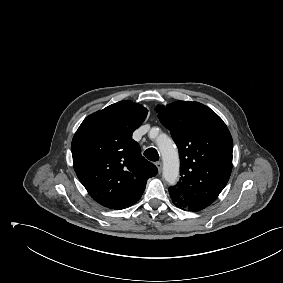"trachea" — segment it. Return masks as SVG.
Listing matches in <instances>:
<instances>
[{
	"mask_svg": "<svg viewBox=\"0 0 283 283\" xmlns=\"http://www.w3.org/2000/svg\"><path fill=\"white\" fill-rule=\"evenodd\" d=\"M144 156L150 160V161H158L159 160V154L155 148H148L144 152Z\"/></svg>",
	"mask_w": 283,
	"mask_h": 283,
	"instance_id": "obj_1",
	"label": "trachea"
}]
</instances>
